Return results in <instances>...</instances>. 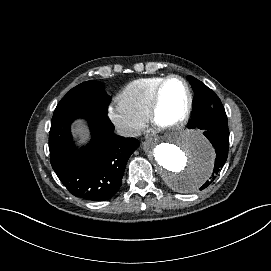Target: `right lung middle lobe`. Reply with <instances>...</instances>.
<instances>
[{"label":"right lung middle lobe","mask_w":271,"mask_h":271,"mask_svg":"<svg viewBox=\"0 0 271 271\" xmlns=\"http://www.w3.org/2000/svg\"><path fill=\"white\" fill-rule=\"evenodd\" d=\"M110 96L99 81H86L71 89L59 102L54 114L75 107H90L107 112Z\"/></svg>","instance_id":"1"}]
</instances>
